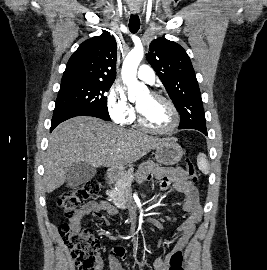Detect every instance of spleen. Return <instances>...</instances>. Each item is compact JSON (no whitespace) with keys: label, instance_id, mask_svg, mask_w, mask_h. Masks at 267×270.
Wrapping results in <instances>:
<instances>
[{"label":"spleen","instance_id":"spleen-1","mask_svg":"<svg viewBox=\"0 0 267 270\" xmlns=\"http://www.w3.org/2000/svg\"><path fill=\"white\" fill-rule=\"evenodd\" d=\"M197 166L199 170L205 175L209 173L210 167L206 155L204 153H199V155L197 156Z\"/></svg>","mask_w":267,"mask_h":270}]
</instances>
